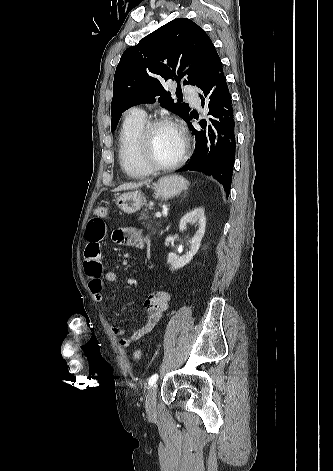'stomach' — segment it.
Instances as JSON below:
<instances>
[{
    "label": "stomach",
    "instance_id": "0dacf381",
    "mask_svg": "<svg viewBox=\"0 0 333 471\" xmlns=\"http://www.w3.org/2000/svg\"><path fill=\"white\" fill-rule=\"evenodd\" d=\"M187 186L188 181L182 176L168 175L158 180L154 190L156 197L167 200L179 195ZM115 202L120 210L128 214L139 211L145 205V199L138 191L121 194Z\"/></svg>",
    "mask_w": 333,
    "mask_h": 471
}]
</instances>
